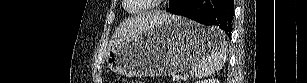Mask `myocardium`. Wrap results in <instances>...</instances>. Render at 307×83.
Segmentation results:
<instances>
[{"label":"myocardium","instance_id":"myocardium-1","mask_svg":"<svg viewBox=\"0 0 307 83\" xmlns=\"http://www.w3.org/2000/svg\"><path fill=\"white\" fill-rule=\"evenodd\" d=\"M128 0H126V2H127ZM155 3H160V2H163L162 0H160V1H154ZM153 7V5L152 6H146L145 8H143V9H140V10H131L129 7H126V9H127V11L128 12H130V13H132V14H141V13H144V12H147V11H149L151 8Z\"/></svg>","mask_w":307,"mask_h":83}]
</instances>
